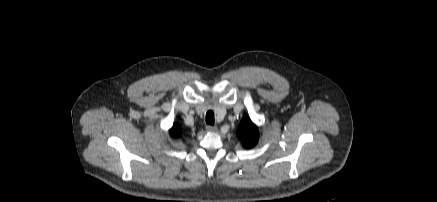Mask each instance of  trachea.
I'll return each instance as SVG.
<instances>
[{
    "label": "trachea",
    "mask_w": 437,
    "mask_h": 202,
    "mask_svg": "<svg viewBox=\"0 0 437 202\" xmlns=\"http://www.w3.org/2000/svg\"><path fill=\"white\" fill-rule=\"evenodd\" d=\"M206 123L209 125H214V113L211 110L206 113Z\"/></svg>",
    "instance_id": "obj_1"
}]
</instances>
